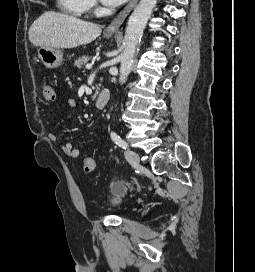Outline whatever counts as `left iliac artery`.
Wrapping results in <instances>:
<instances>
[{"label":"left iliac artery","instance_id":"1","mask_svg":"<svg viewBox=\"0 0 255 272\" xmlns=\"http://www.w3.org/2000/svg\"><path fill=\"white\" fill-rule=\"evenodd\" d=\"M111 139L121 148L126 149L127 148V143L121 139V137L115 133L111 132Z\"/></svg>","mask_w":255,"mask_h":272}]
</instances>
